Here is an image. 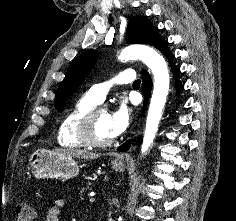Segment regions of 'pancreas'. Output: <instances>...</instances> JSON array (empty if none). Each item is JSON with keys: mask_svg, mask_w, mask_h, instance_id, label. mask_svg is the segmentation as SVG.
<instances>
[{"mask_svg": "<svg viewBox=\"0 0 236 221\" xmlns=\"http://www.w3.org/2000/svg\"><path fill=\"white\" fill-rule=\"evenodd\" d=\"M84 191H85V188H81L79 193L82 194Z\"/></svg>", "mask_w": 236, "mask_h": 221, "instance_id": "obj_1", "label": "pancreas"}]
</instances>
